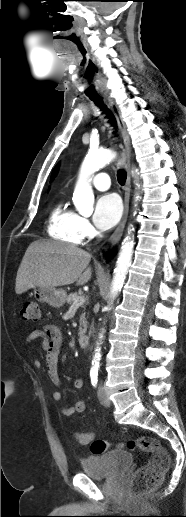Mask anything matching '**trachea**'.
<instances>
[{
    "mask_svg": "<svg viewBox=\"0 0 186 517\" xmlns=\"http://www.w3.org/2000/svg\"><path fill=\"white\" fill-rule=\"evenodd\" d=\"M90 99H91L92 101H94V102H95V104H96L97 106H99L101 109H104V108H105V106L103 105V103H102V101H101V98H100V97L92 96V97H90ZM106 112H108V116H107V117L110 119V120H109V122H111V123H114V124H115V119H114L113 115H112L111 113H109V111H108V110H107ZM126 178H127V175H126V173H125L124 171H119V172H118V174H117V179H118V183H119L120 185H124V184H125V182H126Z\"/></svg>",
    "mask_w": 186,
    "mask_h": 517,
    "instance_id": "1",
    "label": "trachea"
}]
</instances>
